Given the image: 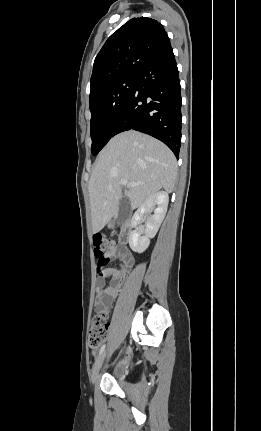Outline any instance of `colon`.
<instances>
[{"label": "colon", "instance_id": "1", "mask_svg": "<svg viewBox=\"0 0 261 431\" xmlns=\"http://www.w3.org/2000/svg\"><path fill=\"white\" fill-rule=\"evenodd\" d=\"M115 247V242L104 234L94 236V251L98 259L97 274H103L105 265L109 262L111 253ZM106 313H98L93 317L89 331V346L93 350L102 344L108 330Z\"/></svg>", "mask_w": 261, "mask_h": 431}]
</instances>
